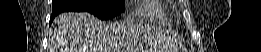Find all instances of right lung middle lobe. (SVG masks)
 <instances>
[{"mask_svg":"<svg viewBox=\"0 0 261 52\" xmlns=\"http://www.w3.org/2000/svg\"><path fill=\"white\" fill-rule=\"evenodd\" d=\"M54 13L65 11L89 12L100 19L117 16L124 9L123 0H53Z\"/></svg>","mask_w":261,"mask_h":52,"instance_id":"dd1d6c3e","label":"right lung middle lobe"}]
</instances>
